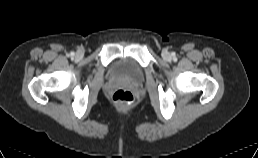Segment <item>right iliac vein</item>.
<instances>
[{
  "label": "right iliac vein",
  "mask_w": 258,
  "mask_h": 158,
  "mask_svg": "<svg viewBox=\"0 0 258 158\" xmlns=\"http://www.w3.org/2000/svg\"><path fill=\"white\" fill-rule=\"evenodd\" d=\"M76 57H77V58H81V57H82V52H81V51H78V52L76 53Z\"/></svg>",
  "instance_id": "63e3f726"
}]
</instances>
